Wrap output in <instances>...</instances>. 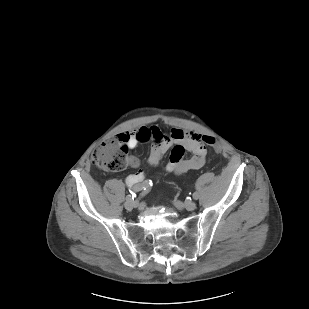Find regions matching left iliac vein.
<instances>
[{"mask_svg": "<svg viewBox=\"0 0 309 309\" xmlns=\"http://www.w3.org/2000/svg\"><path fill=\"white\" fill-rule=\"evenodd\" d=\"M174 205L177 207V208H180V207H184L186 210L188 211H192L194 209H196V203L194 201H186L185 203H182L180 201H174Z\"/></svg>", "mask_w": 309, "mask_h": 309, "instance_id": "obj_1", "label": "left iliac vein"}]
</instances>
